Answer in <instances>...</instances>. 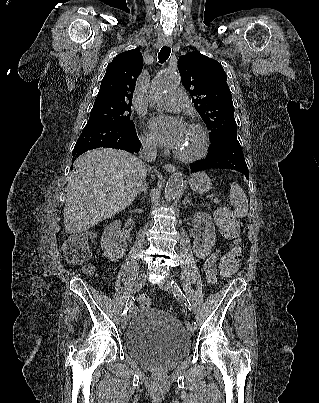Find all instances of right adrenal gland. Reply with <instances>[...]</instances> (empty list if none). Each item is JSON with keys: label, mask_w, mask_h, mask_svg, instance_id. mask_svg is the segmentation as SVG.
<instances>
[{"label": "right adrenal gland", "mask_w": 319, "mask_h": 403, "mask_svg": "<svg viewBox=\"0 0 319 403\" xmlns=\"http://www.w3.org/2000/svg\"><path fill=\"white\" fill-rule=\"evenodd\" d=\"M147 189H148L147 184L145 182H143L142 186L139 189L137 194L140 195L141 193H144V195H146L147 194Z\"/></svg>", "instance_id": "obj_1"}]
</instances>
